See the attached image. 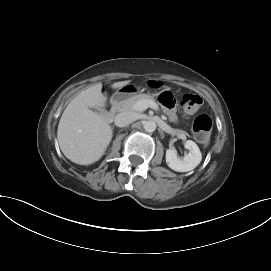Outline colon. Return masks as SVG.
Instances as JSON below:
<instances>
[{"label": "colon", "instance_id": "obj_1", "mask_svg": "<svg viewBox=\"0 0 271 271\" xmlns=\"http://www.w3.org/2000/svg\"><path fill=\"white\" fill-rule=\"evenodd\" d=\"M149 86L152 88H160L161 84L158 81H149ZM160 101L165 107H171L174 105L173 95L169 91H163L160 95ZM202 105V98L198 95L194 94H186L183 96L181 100V107L183 112L186 115L194 114L200 106ZM192 130L195 139L203 144L206 145L211 136L212 130V120L208 115L201 114L198 115L192 125Z\"/></svg>", "mask_w": 271, "mask_h": 271}]
</instances>
